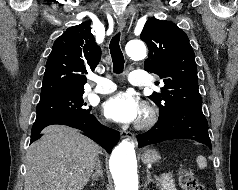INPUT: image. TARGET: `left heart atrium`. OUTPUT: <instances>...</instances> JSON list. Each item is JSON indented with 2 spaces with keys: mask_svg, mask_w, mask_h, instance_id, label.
Instances as JSON below:
<instances>
[{
  "mask_svg": "<svg viewBox=\"0 0 238 190\" xmlns=\"http://www.w3.org/2000/svg\"><path fill=\"white\" fill-rule=\"evenodd\" d=\"M107 118L119 122L130 123L137 120L141 108L136 97L130 93L120 92L110 97L103 106Z\"/></svg>",
  "mask_w": 238,
  "mask_h": 190,
  "instance_id": "1",
  "label": "left heart atrium"
}]
</instances>
